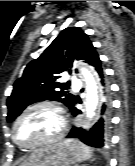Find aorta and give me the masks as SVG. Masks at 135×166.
<instances>
[{"mask_svg": "<svg viewBox=\"0 0 135 166\" xmlns=\"http://www.w3.org/2000/svg\"><path fill=\"white\" fill-rule=\"evenodd\" d=\"M86 82V116L91 119L95 115V110L98 106V86L92 73L86 69H80Z\"/></svg>", "mask_w": 135, "mask_h": 166, "instance_id": "1", "label": "aorta"}]
</instances>
